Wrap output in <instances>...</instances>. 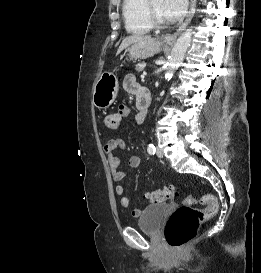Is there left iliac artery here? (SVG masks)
Instances as JSON below:
<instances>
[{
  "instance_id": "obj_1",
  "label": "left iliac artery",
  "mask_w": 261,
  "mask_h": 273,
  "mask_svg": "<svg viewBox=\"0 0 261 273\" xmlns=\"http://www.w3.org/2000/svg\"><path fill=\"white\" fill-rule=\"evenodd\" d=\"M147 151L150 155H154L155 154V151H156V148L153 144H149L148 148H147Z\"/></svg>"
}]
</instances>
